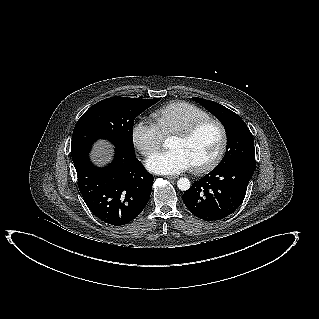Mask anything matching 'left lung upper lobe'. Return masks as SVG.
<instances>
[{
	"label": "left lung upper lobe",
	"mask_w": 319,
	"mask_h": 319,
	"mask_svg": "<svg viewBox=\"0 0 319 319\" xmlns=\"http://www.w3.org/2000/svg\"><path fill=\"white\" fill-rule=\"evenodd\" d=\"M211 112L225 127L227 134V150L217 167L234 162L255 166V150L253 136L245 122L235 112L210 100L192 98Z\"/></svg>",
	"instance_id": "1"
}]
</instances>
